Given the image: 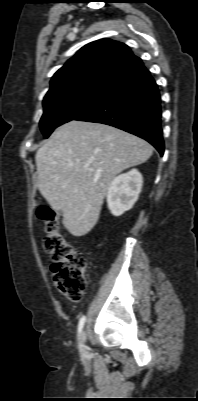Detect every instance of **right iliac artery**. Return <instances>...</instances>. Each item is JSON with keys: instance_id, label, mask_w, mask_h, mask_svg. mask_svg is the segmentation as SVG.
I'll return each mask as SVG.
<instances>
[{"instance_id": "right-iliac-artery-1", "label": "right iliac artery", "mask_w": 198, "mask_h": 401, "mask_svg": "<svg viewBox=\"0 0 198 401\" xmlns=\"http://www.w3.org/2000/svg\"><path fill=\"white\" fill-rule=\"evenodd\" d=\"M85 320H86V317L83 316V317H81V319L79 321V324H78V336L80 335V333L82 331V328H83V326L85 324Z\"/></svg>"}]
</instances>
